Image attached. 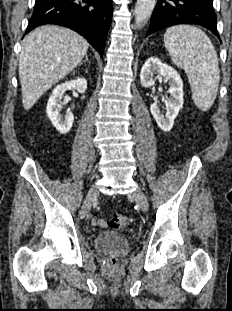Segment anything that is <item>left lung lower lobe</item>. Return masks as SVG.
Segmentation results:
<instances>
[{"label":"left lung lower lobe","mask_w":232,"mask_h":311,"mask_svg":"<svg viewBox=\"0 0 232 311\" xmlns=\"http://www.w3.org/2000/svg\"><path fill=\"white\" fill-rule=\"evenodd\" d=\"M176 24H197L219 39L212 0H158L147 35Z\"/></svg>","instance_id":"0a47b994"}]
</instances>
